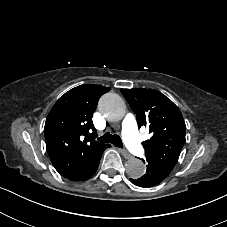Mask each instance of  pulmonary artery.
Here are the masks:
<instances>
[{
  "mask_svg": "<svg viewBox=\"0 0 227 227\" xmlns=\"http://www.w3.org/2000/svg\"><path fill=\"white\" fill-rule=\"evenodd\" d=\"M123 145L124 149L133 156H141L144 153V145L137 137L136 119L133 113H129L123 119Z\"/></svg>",
  "mask_w": 227,
  "mask_h": 227,
  "instance_id": "e3ab8cb5",
  "label": "pulmonary artery"
}]
</instances>
